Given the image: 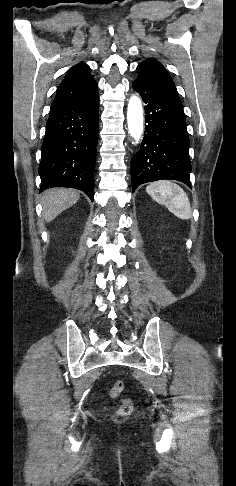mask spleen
Here are the masks:
<instances>
[{
	"label": "spleen",
	"instance_id": "3e777b00",
	"mask_svg": "<svg viewBox=\"0 0 236 486\" xmlns=\"http://www.w3.org/2000/svg\"><path fill=\"white\" fill-rule=\"evenodd\" d=\"M152 199L165 205L170 212L180 219H189L192 215L190 202L185 191L170 181H158L146 187Z\"/></svg>",
	"mask_w": 236,
	"mask_h": 486
}]
</instances>
